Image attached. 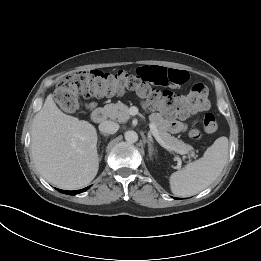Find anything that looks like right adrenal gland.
<instances>
[{"instance_id": "right-adrenal-gland-1", "label": "right adrenal gland", "mask_w": 261, "mask_h": 261, "mask_svg": "<svg viewBox=\"0 0 261 261\" xmlns=\"http://www.w3.org/2000/svg\"><path fill=\"white\" fill-rule=\"evenodd\" d=\"M105 137H108L106 134H103ZM102 158V154H101V156H100V159Z\"/></svg>"}]
</instances>
